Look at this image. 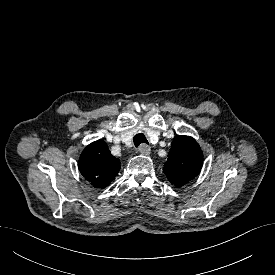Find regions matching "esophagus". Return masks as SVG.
Wrapping results in <instances>:
<instances>
[{
  "label": "esophagus",
  "instance_id": "34e87169",
  "mask_svg": "<svg viewBox=\"0 0 275 275\" xmlns=\"http://www.w3.org/2000/svg\"><path fill=\"white\" fill-rule=\"evenodd\" d=\"M138 151H139L142 155L147 156V155H149V154L151 153V148H150V146H148L147 144H141V145L139 146Z\"/></svg>",
  "mask_w": 275,
  "mask_h": 275
}]
</instances>
